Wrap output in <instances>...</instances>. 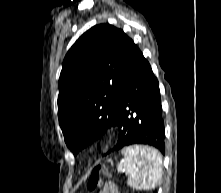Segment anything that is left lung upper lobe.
I'll list each match as a JSON object with an SVG mask.
<instances>
[{
	"label": "left lung upper lobe",
	"instance_id": "1",
	"mask_svg": "<svg viewBox=\"0 0 221 193\" xmlns=\"http://www.w3.org/2000/svg\"><path fill=\"white\" fill-rule=\"evenodd\" d=\"M138 50L121 29L101 24L68 51L59 79L58 117L75 154L117 124L120 87Z\"/></svg>",
	"mask_w": 221,
	"mask_h": 193
}]
</instances>
